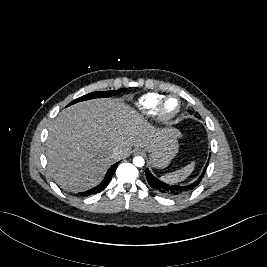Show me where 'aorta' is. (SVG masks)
I'll return each mask as SVG.
<instances>
[{"label":"aorta","mask_w":267,"mask_h":267,"mask_svg":"<svg viewBox=\"0 0 267 267\" xmlns=\"http://www.w3.org/2000/svg\"><path fill=\"white\" fill-rule=\"evenodd\" d=\"M133 164H134L136 167H143L144 164H145V160H144L143 157H141V156H136V157H134V159H133Z\"/></svg>","instance_id":"762f6f07"}]
</instances>
